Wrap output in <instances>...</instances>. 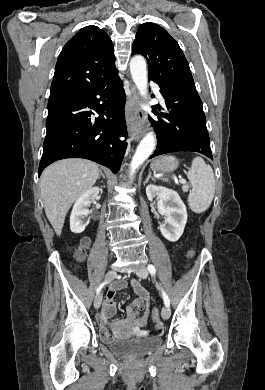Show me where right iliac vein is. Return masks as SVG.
I'll return each instance as SVG.
<instances>
[{
	"label": "right iliac vein",
	"mask_w": 265,
	"mask_h": 390,
	"mask_svg": "<svg viewBox=\"0 0 265 390\" xmlns=\"http://www.w3.org/2000/svg\"><path fill=\"white\" fill-rule=\"evenodd\" d=\"M116 275H117L116 270H114V269L110 270V271L106 274V276H105V281H110V280L114 279V278L116 277ZM101 301H102V293L99 292V293L95 296V299H94V306H95V308L98 309V308L100 307Z\"/></svg>",
	"instance_id": "right-iliac-vein-1"
}]
</instances>
